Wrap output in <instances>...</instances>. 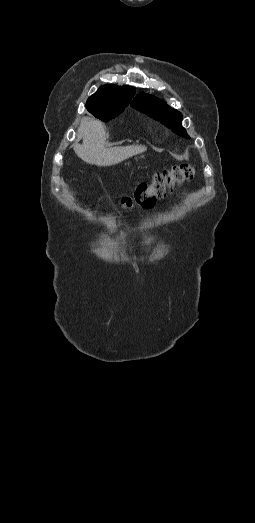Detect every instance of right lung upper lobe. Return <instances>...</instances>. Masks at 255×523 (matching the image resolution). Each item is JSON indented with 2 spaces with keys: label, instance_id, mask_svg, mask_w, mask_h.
<instances>
[{
  "label": "right lung upper lobe",
  "instance_id": "right-lung-upper-lobe-1",
  "mask_svg": "<svg viewBox=\"0 0 255 523\" xmlns=\"http://www.w3.org/2000/svg\"><path fill=\"white\" fill-rule=\"evenodd\" d=\"M135 89L129 86L104 85L87 100L86 107L97 104H108L131 101Z\"/></svg>",
  "mask_w": 255,
  "mask_h": 523
}]
</instances>
